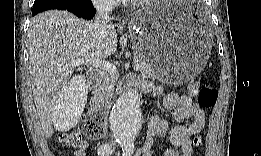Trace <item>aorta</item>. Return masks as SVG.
Instances as JSON below:
<instances>
[{"label": "aorta", "instance_id": "obj_1", "mask_svg": "<svg viewBox=\"0 0 261 156\" xmlns=\"http://www.w3.org/2000/svg\"><path fill=\"white\" fill-rule=\"evenodd\" d=\"M110 124L115 138L131 142L139 134L142 124L141 98L136 89L124 93L113 106Z\"/></svg>", "mask_w": 261, "mask_h": 156}]
</instances>
